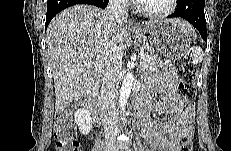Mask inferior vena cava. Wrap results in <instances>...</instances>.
<instances>
[{
	"instance_id": "inferior-vena-cava-1",
	"label": "inferior vena cava",
	"mask_w": 231,
	"mask_h": 151,
	"mask_svg": "<svg viewBox=\"0 0 231 151\" xmlns=\"http://www.w3.org/2000/svg\"><path fill=\"white\" fill-rule=\"evenodd\" d=\"M127 0H110L106 9L107 17L114 26L126 22L128 10ZM121 63L118 56H114L105 69L103 88L101 93L103 126L107 143H112L118 134L116 95L118 89V71Z\"/></svg>"
}]
</instances>
